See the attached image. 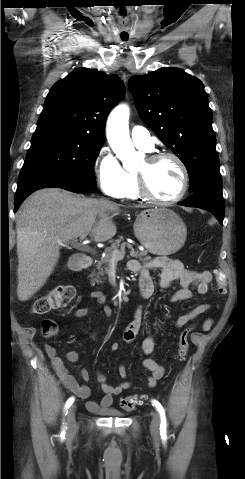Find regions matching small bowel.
<instances>
[{
	"label": "small bowel",
	"mask_w": 245,
	"mask_h": 479,
	"mask_svg": "<svg viewBox=\"0 0 245 479\" xmlns=\"http://www.w3.org/2000/svg\"><path fill=\"white\" fill-rule=\"evenodd\" d=\"M128 267L132 272L140 273L139 289L144 298H150L155 293V285L151 279L150 273L158 270L160 273V288L166 290L173 282H178L180 288L177 289L171 295V302L176 303L180 301L190 300L193 297L191 287H195L196 293L200 296H204L208 293L209 284L212 280V274L210 271H193L186 269L182 262L176 259H171L163 256L155 257L149 261L141 262L139 260H130ZM91 298L98 304L104 305V311L106 314L111 313V308L106 305L107 296L101 291H94L91 293ZM210 308L209 304L202 303L196 307L188 310L181 316H179L175 322L177 328L183 327L188 322L198 318L201 314L206 312ZM88 314V308L80 307L74 311L75 318H82ZM143 324V311L141 307H138L133 315L132 320L125 327L122 338L125 342H133ZM213 321L207 319L203 324V330L208 331L212 327ZM119 343L113 342L110 345L112 351L119 350ZM142 351L145 355H151L155 350V337L154 334L148 335L142 342ZM45 353L51 360L52 368L56 376L60 379L63 385L77 397L87 399L90 396V389L86 385H80L75 378L68 372L61 357L57 355V350L53 345H45ZM66 358L69 362H77L79 360V352L76 350H70L66 354ZM143 366L149 372L146 378V385L150 388L155 387L157 381L160 380L165 373V368L162 364L158 363L152 358H146L143 361ZM118 374L122 379L127 378V370L124 365L118 367ZM80 376L84 381H89L90 374L88 370L81 369ZM97 381L101 385L103 391L102 398L97 400H89L87 402V409L92 412H99L111 407L115 396L119 395L123 391L132 388L130 381H122L117 385H112L107 382V378L103 373L97 374Z\"/></svg>",
	"instance_id": "1"
}]
</instances>
